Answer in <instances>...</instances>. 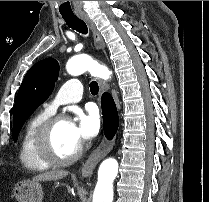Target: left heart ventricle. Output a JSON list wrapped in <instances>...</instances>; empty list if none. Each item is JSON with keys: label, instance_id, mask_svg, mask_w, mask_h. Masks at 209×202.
I'll return each instance as SVG.
<instances>
[{"label": "left heart ventricle", "instance_id": "b2bd125f", "mask_svg": "<svg viewBox=\"0 0 209 202\" xmlns=\"http://www.w3.org/2000/svg\"><path fill=\"white\" fill-rule=\"evenodd\" d=\"M51 146L60 157H69L78 150L80 145L73 137L69 121H64L55 128L51 137Z\"/></svg>", "mask_w": 209, "mask_h": 202}]
</instances>
